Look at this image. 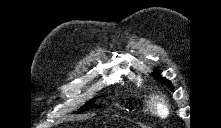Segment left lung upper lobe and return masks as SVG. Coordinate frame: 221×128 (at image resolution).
Segmentation results:
<instances>
[{
    "instance_id": "1",
    "label": "left lung upper lobe",
    "mask_w": 221,
    "mask_h": 128,
    "mask_svg": "<svg viewBox=\"0 0 221 128\" xmlns=\"http://www.w3.org/2000/svg\"><path fill=\"white\" fill-rule=\"evenodd\" d=\"M152 76H154L161 83L166 84L168 87H170L173 90V85L170 83V81H168L167 79L161 77L158 72L153 73Z\"/></svg>"
}]
</instances>
